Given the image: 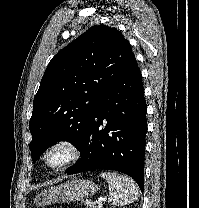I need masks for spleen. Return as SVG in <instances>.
I'll return each mask as SVG.
<instances>
[{"mask_svg": "<svg viewBox=\"0 0 199 208\" xmlns=\"http://www.w3.org/2000/svg\"><path fill=\"white\" fill-rule=\"evenodd\" d=\"M100 176L108 182L113 206L127 205L138 199V187L129 177L119 175L115 172H102Z\"/></svg>", "mask_w": 199, "mask_h": 208, "instance_id": "spleen-1", "label": "spleen"}]
</instances>
